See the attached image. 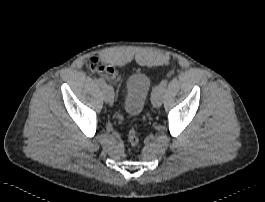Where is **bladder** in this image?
<instances>
[{"label":"bladder","mask_w":265,"mask_h":202,"mask_svg":"<svg viewBox=\"0 0 265 202\" xmlns=\"http://www.w3.org/2000/svg\"><path fill=\"white\" fill-rule=\"evenodd\" d=\"M150 89L148 76L143 72L130 75L124 85V111L129 116L142 112Z\"/></svg>","instance_id":"31cf9c89"}]
</instances>
